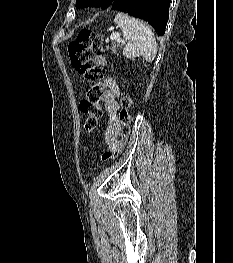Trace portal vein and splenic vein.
Instances as JSON below:
<instances>
[{"mask_svg": "<svg viewBox=\"0 0 233 263\" xmlns=\"http://www.w3.org/2000/svg\"><path fill=\"white\" fill-rule=\"evenodd\" d=\"M110 39L112 41H122L119 33H112Z\"/></svg>", "mask_w": 233, "mask_h": 263, "instance_id": "portal-vein-and-splenic-vein-1", "label": "portal vein and splenic vein"}]
</instances>
